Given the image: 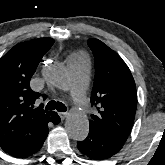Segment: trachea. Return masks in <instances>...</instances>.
Returning <instances> with one entry per match:
<instances>
[{
    "label": "trachea",
    "instance_id": "obj_1",
    "mask_svg": "<svg viewBox=\"0 0 165 165\" xmlns=\"http://www.w3.org/2000/svg\"><path fill=\"white\" fill-rule=\"evenodd\" d=\"M46 110H57L60 112H66L67 111V107L62 103V102H56L54 100H51L47 103Z\"/></svg>",
    "mask_w": 165,
    "mask_h": 165
}]
</instances>
